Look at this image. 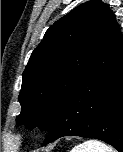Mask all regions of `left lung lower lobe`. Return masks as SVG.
Listing matches in <instances>:
<instances>
[{
  "instance_id": "obj_1",
  "label": "left lung lower lobe",
  "mask_w": 123,
  "mask_h": 152,
  "mask_svg": "<svg viewBox=\"0 0 123 152\" xmlns=\"http://www.w3.org/2000/svg\"><path fill=\"white\" fill-rule=\"evenodd\" d=\"M63 136L99 139L123 152V35L117 27L59 105L42 145Z\"/></svg>"
}]
</instances>
